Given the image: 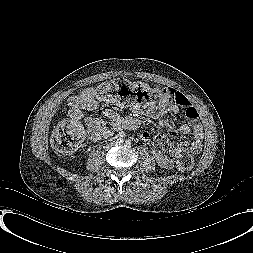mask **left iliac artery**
<instances>
[{
    "instance_id": "left-iliac-artery-1",
    "label": "left iliac artery",
    "mask_w": 253,
    "mask_h": 253,
    "mask_svg": "<svg viewBox=\"0 0 253 253\" xmlns=\"http://www.w3.org/2000/svg\"><path fill=\"white\" fill-rule=\"evenodd\" d=\"M126 144L127 145H130L131 144V141L128 139V140H126Z\"/></svg>"
}]
</instances>
